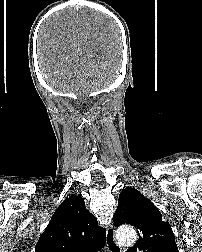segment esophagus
<instances>
[{
	"label": "esophagus",
	"instance_id": "1",
	"mask_svg": "<svg viewBox=\"0 0 202 252\" xmlns=\"http://www.w3.org/2000/svg\"><path fill=\"white\" fill-rule=\"evenodd\" d=\"M106 245L109 252H122L121 246L115 239V230L112 225L106 231Z\"/></svg>",
	"mask_w": 202,
	"mask_h": 252
}]
</instances>
